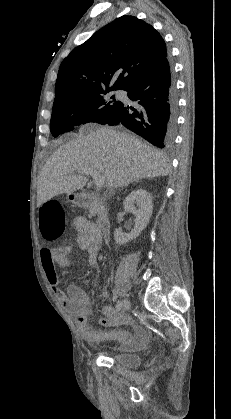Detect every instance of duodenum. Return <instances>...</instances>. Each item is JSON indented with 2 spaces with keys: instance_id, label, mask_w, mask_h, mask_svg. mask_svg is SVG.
Wrapping results in <instances>:
<instances>
[{
  "instance_id": "1",
  "label": "duodenum",
  "mask_w": 231,
  "mask_h": 419,
  "mask_svg": "<svg viewBox=\"0 0 231 419\" xmlns=\"http://www.w3.org/2000/svg\"><path fill=\"white\" fill-rule=\"evenodd\" d=\"M76 202L79 207L92 208L96 212V226L102 240L110 235L111 221L102 199L92 193H81L76 196Z\"/></svg>"
}]
</instances>
